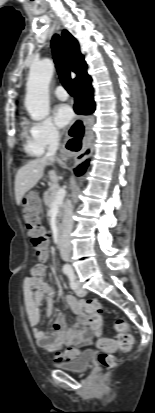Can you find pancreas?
<instances>
[{"mask_svg":"<svg viewBox=\"0 0 155 413\" xmlns=\"http://www.w3.org/2000/svg\"><path fill=\"white\" fill-rule=\"evenodd\" d=\"M58 190H59L58 184H52L50 188L44 193L43 199L48 209H50L52 204L54 203L56 193ZM64 208H65V204L64 203L60 204L58 218L62 217Z\"/></svg>","mask_w":155,"mask_h":413,"instance_id":"1","label":"pancreas"}]
</instances>
